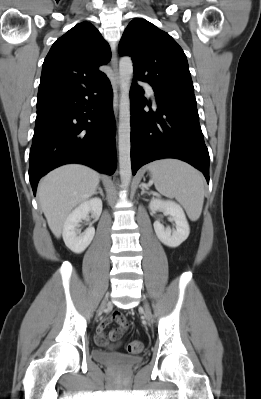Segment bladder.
<instances>
[{
    "mask_svg": "<svg viewBox=\"0 0 261 399\" xmlns=\"http://www.w3.org/2000/svg\"><path fill=\"white\" fill-rule=\"evenodd\" d=\"M92 357L96 362L107 366H132L141 362V358L138 356H129L104 350H93Z\"/></svg>",
    "mask_w": 261,
    "mask_h": 399,
    "instance_id": "31cf9c89",
    "label": "bladder"
}]
</instances>
